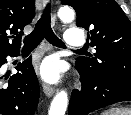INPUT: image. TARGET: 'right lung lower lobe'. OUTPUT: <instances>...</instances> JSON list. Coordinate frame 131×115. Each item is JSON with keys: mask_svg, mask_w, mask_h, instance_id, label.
<instances>
[{"mask_svg": "<svg viewBox=\"0 0 131 115\" xmlns=\"http://www.w3.org/2000/svg\"><path fill=\"white\" fill-rule=\"evenodd\" d=\"M18 54L19 52L9 56ZM7 56H0V67L7 63ZM16 69L20 72L10 77L8 84L0 82V114L34 115L39 100V85L31 57Z\"/></svg>", "mask_w": 131, "mask_h": 115, "instance_id": "1", "label": "right lung lower lobe"}]
</instances>
